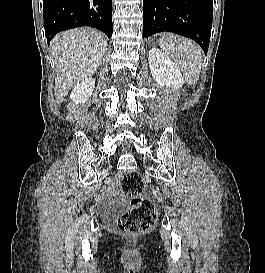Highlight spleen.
<instances>
[{
    "label": "spleen",
    "mask_w": 265,
    "mask_h": 273,
    "mask_svg": "<svg viewBox=\"0 0 265 273\" xmlns=\"http://www.w3.org/2000/svg\"><path fill=\"white\" fill-rule=\"evenodd\" d=\"M160 49L169 56L184 73L192 85L199 79L202 65V51L199 45L184 37L164 34L159 42Z\"/></svg>",
    "instance_id": "1"
}]
</instances>
